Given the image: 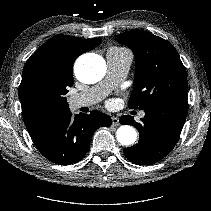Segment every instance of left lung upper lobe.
Masks as SVG:
<instances>
[{
  "label": "left lung upper lobe",
  "instance_id": "left-lung-upper-lobe-1",
  "mask_svg": "<svg viewBox=\"0 0 211 211\" xmlns=\"http://www.w3.org/2000/svg\"><path fill=\"white\" fill-rule=\"evenodd\" d=\"M115 39L132 49L136 70L128 107L146 109L166 100L187 101V74L176 49L165 39L142 30Z\"/></svg>",
  "mask_w": 211,
  "mask_h": 211
}]
</instances>
